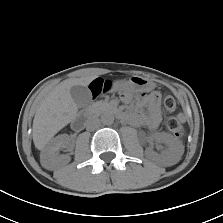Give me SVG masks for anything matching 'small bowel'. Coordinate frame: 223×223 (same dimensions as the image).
Segmentation results:
<instances>
[{"label": "small bowel", "instance_id": "obj_1", "mask_svg": "<svg viewBox=\"0 0 223 223\" xmlns=\"http://www.w3.org/2000/svg\"><path fill=\"white\" fill-rule=\"evenodd\" d=\"M98 84L94 88V95H99L102 91ZM123 102H128V96L124 95L122 97ZM139 108H146L148 113H139L136 115L126 116L125 118L132 124L135 125H144L150 129H156L160 124L162 118L161 110V95L159 92L152 91L143 95L139 101Z\"/></svg>", "mask_w": 223, "mask_h": 223}]
</instances>
